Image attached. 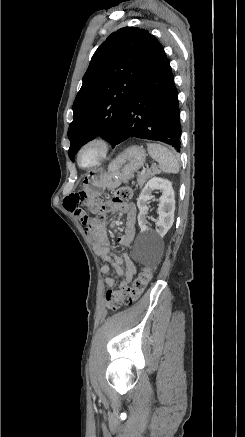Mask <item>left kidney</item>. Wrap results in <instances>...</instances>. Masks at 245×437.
Instances as JSON below:
<instances>
[{
	"mask_svg": "<svg viewBox=\"0 0 245 437\" xmlns=\"http://www.w3.org/2000/svg\"><path fill=\"white\" fill-rule=\"evenodd\" d=\"M155 190L161 192L157 212L159 217L156 221V226L158 228L156 230H151L148 228L146 220L149 210L147 203L153 198L152 193ZM137 206L140 211L138 214V224L141 233L153 240L163 238L174 222L175 196L172 183L167 179L159 177L150 179L137 200Z\"/></svg>",
	"mask_w": 245,
	"mask_h": 437,
	"instance_id": "left-kidney-1",
	"label": "left kidney"
}]
</instances>
